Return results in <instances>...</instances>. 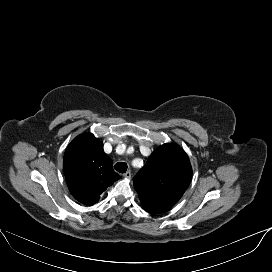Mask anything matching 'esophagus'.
I'll use <instances>...</instances> for the list:
<instances>
[{"label":"esophagus","instance_id":"1","mask_svg":"<svg viewBox=\"0 0 272 272\" xmlns=\"http://www.w3.org/2000/svg\"><path fill=\"white\" fill-rule=\"evenodd\" d=\"M123 176H124L125 179H130L131 178V172L127 171Z\"/></svg>","mask_w":272,"mask_h":272}]
</instances>
